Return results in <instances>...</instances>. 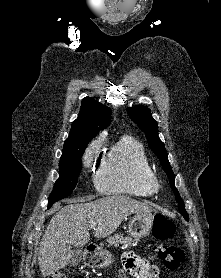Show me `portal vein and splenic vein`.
<instances>
[{
  "mask_svg": "<svg viewBox=\"0 0 221 278\" xmlns=\"http://www.w3.org/2000/svg\"><path fill=\"white\" fill-rule=\"evenodd\" d=\"M96 226H97V223H96V222H93V223L90 224L89 227H90L91 229H95Z\"/></svg>",
  "mask_w": 221,
  "mask_h": 278,
  "instance_id": "18ae733b",
  "label": "portal vein and splenic vein"
}]
</instances>
